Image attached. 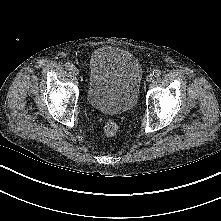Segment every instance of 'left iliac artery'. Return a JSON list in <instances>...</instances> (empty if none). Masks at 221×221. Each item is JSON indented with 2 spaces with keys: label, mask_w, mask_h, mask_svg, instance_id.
<instances>
[{
  "label": "left iliac artery",
  "mask_w": 221,
  "mask_h": 221,
  "mask_svg": "<svg viewBox=\"0 0 221 221\" xmlns=\"http://www.w3.org/2000/svg\"><path fill=\"white\" fill-rule=\"evenodd\" d=\"M153 75H154L155 77H159V76L161 75V70H160V69H155V70L153 71Z\"/></svg>",
  "instance_id": "44dca946"
}]
</instances>
